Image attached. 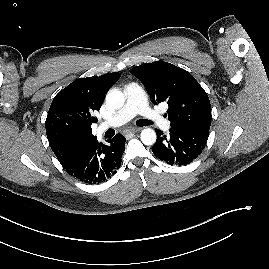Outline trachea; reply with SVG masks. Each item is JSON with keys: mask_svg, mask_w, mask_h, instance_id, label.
I'll use <instances>...</instances> for the list:
<instances>
[{"mask_svg": "<svg viewBox=\"0 0 269 269\" xmlns=\"http://www.w3.org/2000/svg\"><path fill=\"white\" fill-rule=\"evenodd\" d=\"M152 124V122L151 121H149V120H145V119H140V120H138L137 121V125H139V126H148V125H151Z\"/></svg>", "mask_w": 269, "mask_h": 269, "instance_id": "obj_1", "label": "trachea"}]
</instances>
